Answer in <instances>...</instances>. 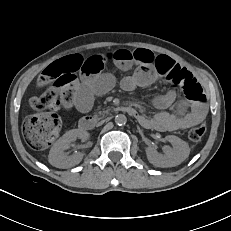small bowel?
<instances>
[{
	"label": "small bowel",
	"instance_id": "c3829d8e",
	"mask_svg": "<svg viewBox=\"0 0 231 231\" xmlns=\"http://www.w3.org/2000/svg\"><path fill=\"white\" fill-rule=\"evenodd\" d=\"M68 65L74 75L72 83V98L64 101L65 108L75 106L81 111L90 109L93 99L110 91L115 85V77L105 72V67L113 63L121 70L135 67L134 72L121 80V87L126 91H133L139 87L152 84L158 76H164L170 81L175 71L185 70L172 58L161 55L155 56L147 49H118L102 51L90 55L74 54L59 60ZM74 73H78L76 76ZM154 104L161 111L154 117L139 116L142 125L159 131H175L198 125L207 115L204 100H177L174 91L158 96ZM168 109H171L168 111Z\"/></svg>",
	"mask_w": 231,
	"mask_h": 231
}]
</instances>
